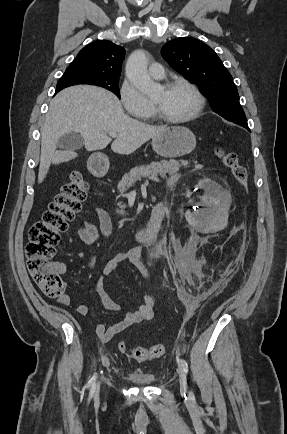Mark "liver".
Returning <instances> with one entry per match:
<instances>
[{
    "label": "liver",
    "instance_id": "obj_1",
    "mask_svg": "<svg viewBox=\"0 0 287 434\" xmlns=\"http://www.w3.org/2000/svg\"><path fill=\"white\" fill-rule=\"evenodd\" d=\"M166 126H152L127 116L118 98L95 86H73L58 93L50 103L41 132L38 182L51 166L74 159L75 153L56 150L57 141L67 133H79L88 151L104 149L107 135L117 133L112 151L128 155L163 132Z\"/></svg>",
    "mask_w": 287,
    "mask_h": 434
}]
</instances>
